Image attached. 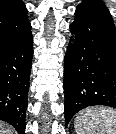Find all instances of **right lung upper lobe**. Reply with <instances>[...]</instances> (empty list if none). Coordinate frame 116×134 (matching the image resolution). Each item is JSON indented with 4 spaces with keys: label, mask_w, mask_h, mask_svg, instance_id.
Listing matches in <instances>:
<instances>
[{
    "label": "right lung upper lobe",
    "mask_w": 116,
    "mask_h": 134,
    "mask_svg": "<svg viewBox=\"0 0 116 134\" xmlns=\"http://www.w3.org/2000/svg\"><path fill=\"white\" fill-rule=\"evenodd\" d=\"M31 29L27 9L21 0L0 1V50Z\"/></svg>",
    "instance_id": "right-lung-upper-lobe-1"
}]
</instances>
